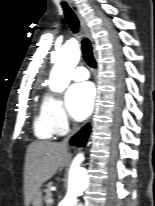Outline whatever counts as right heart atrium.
I'll return each mask as SVG.
<instances>
[{
	"instance_id": "1",
	"label": "right heart atrium",
	"mask_w": 155,
	"mask_h": 206,
	"mask_svg": "<svg viewBox=\"0 0 155 206\" xmlns=\"http://www.w3.org/2000/svg\"><path fill=\"white\" fill-rule=\"evenodd\" d=\"M41 112L54 134H64L70 128V119L63 101L56 95L49 94L44 98Z\"/></svg>"
}]
</instances>
